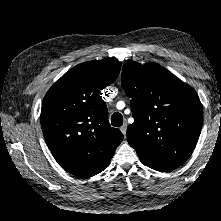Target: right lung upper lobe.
Returning <instances> with one entry per match:
<instances>
[{"mask_svg": "<svg viewBox=\"0 0 221 221\" xmlns=\"http://www.w3.org/2000/svg\"><path fill=\"white\" fill-rule=\"evenodd\" d=\"M120 68L114 59L81 63L56 81L44 97V138L55 160L71 174L88 178L102 172L123 140L121 131L110 126L101 96Z\"/></svg>", "mask_w": 221, "mask_h": 221, "instance_id": "right-lung-upper-lobe-1", "label": "right lung upper lobe"}]
</instances>
